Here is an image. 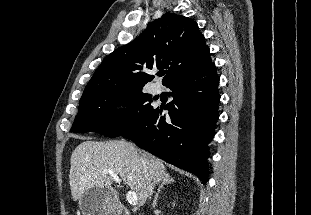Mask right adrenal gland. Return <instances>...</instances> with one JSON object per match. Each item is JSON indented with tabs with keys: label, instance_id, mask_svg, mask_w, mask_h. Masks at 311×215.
I'll use <instances>...</instances> for the list:
<instances>
[{
	"label": "right adrenal gland",
	"instance_id": "2a0ac1e0",
	"mask_svg": "<svg viewBox=\"0 0 311 215\" xmlns=\"http://www.w3.org/2000/svg\"><path fill=\"white\" fill-rule=\"evenodd\" d=\"M174 182H175L174 178H172L169 174H166L165 178L162 180V183L158 188V192L155 195V198H154V201L152 204L153 207H155L157 205L158 196H159L161 190L164 188V186L168 185V184H172Z\"/></svg>",
	"mask_w": 311,
	"mask_h": 215
}]
</instances>
